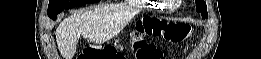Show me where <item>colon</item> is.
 Listing matches in <instances>:
<instances>
[{"label":"colon","mask_w":261,"mask_h":59,"mask_svg":"<svg viewBox=\"0 0 261 59\" xmlns=\"http://www.w3.org/2000/svg\"><path fill=\"white\" fill-rule=\"evenodd\" d=\"M192 28L187 24L170 22L165 19L146 18L138 35L133 39L137 59H162L163 53L155 45L149 43L144 37L153 36L162 38L170 43H179L187 39ZM78 59H119L122 56L112 47L87 46L78 55Z\"/></svg>","instance_id":"obj_1"}]
</instances>
